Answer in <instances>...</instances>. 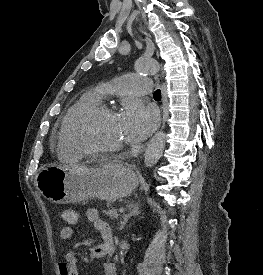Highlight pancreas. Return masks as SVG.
Masks as SVG:
<instances>
[{
	"instance_id": "pancreas-1",
	"label": "pancreas",
	"mask_w": 263,
	"mask_h": 275,
	"mask_svg": "<svg viewBox=\"0 0 263 275\" xmlns=\"http://www.w3.org/2000/svg\"><path fill=\"white\" fill-rule=\"evenodd\" d=\"M104 213L109 216L111 220L118 218L119 214L117 213V210L115 208H112L108 211H104Z\"/></svg>"
}]
</instances>
